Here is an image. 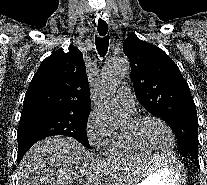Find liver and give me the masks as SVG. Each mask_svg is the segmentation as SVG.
Segmentation results:
<instances>
[{"label":"liver","instance_id":"6515ba94","mask_svg":"<svg viewBox=\"0 0 207 185\" xmlns=\"http://www.w3.org/2000/svg\"><path fill=\"white\" fill-rule=\"evenodd\" d=\"M19 185H71L88 177L95 183V159L71 137L55 135L37 141L19 165Z\"/></svg>","mask_w":207,"mask_h":185}]
</instances>
